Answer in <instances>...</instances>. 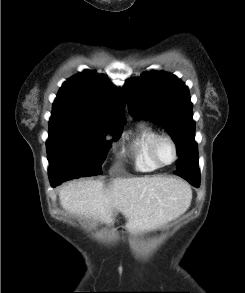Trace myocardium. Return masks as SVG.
<instances>
[{
	"label": "myocardium",
	"mask_w": 245,
	"mask_h": 293,
	"mask_svg": "<svg viewBox=\"0 0 245 293\" xmlns=\"http://www.w3.org/2000/svg\"><path fill=\"white\" fill-rule=\"evenodd\" d=\"M162 141H167L170 143L172 149H173V158L170 162L165 163L163 162L158 154V146ZM151 155L152 158L154 159V161L161 167H165V166H170L172 164H174L179 156V150H178V145L176 143V141L168 134H158L151 145Z\"/></svg>",
	"instance_id": "1"
}]
</instances>
